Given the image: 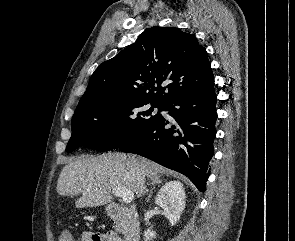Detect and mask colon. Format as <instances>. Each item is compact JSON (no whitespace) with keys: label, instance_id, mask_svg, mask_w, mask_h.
Returning a JSON list of instances; mask_svg holds the SVG:
<instances>
[{"label":"colon","instance_id":"colon-1","mask_svg":"<svg viewBox=\"0 0 295 241\" xmlns=\"http://www.w3.org/2000/svg\"><path fill=\"white\" fill-rule=\"evenodd\" d=\"M59 241H74V238L69 231H63L60 234Z\"/></svg>","mask_w":295,"mask_h":241}]
</instances>
